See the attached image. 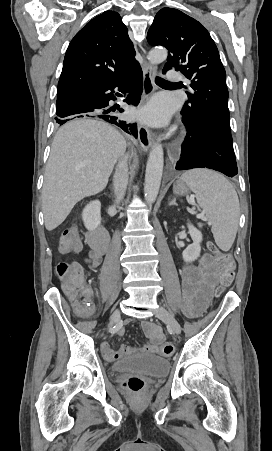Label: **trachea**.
I'll return each mask as SVG.
<instances>
[{
  "label": "trachea",
  "instance_id": "1",
  "mask_svg": "<svg viewBox=\"0 0 272 451\" xmlns=\"http://www.w3.org/2000/svg\"><path fill=\"white\" fill-rule=\"evenodd\" d=\"M156 83L157 84H166V83H171V82H167V80H164L163 78L157 77L156 78Z\"/></svg>",
  "mask_w": 272,
  "mask_h": 451
}]
</instances>
